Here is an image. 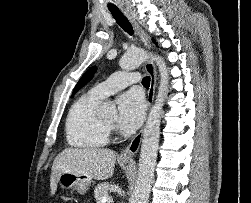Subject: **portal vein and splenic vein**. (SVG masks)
<instances>
[{"instance_id":"portal-vein-and-splenic-vein-1","label":"portal vein and splenic vein","mask_w":251,"mask_h":203,"mask_svg":"<svg viewBox=\"0 0 251 203\" xmlns=\"http://www.w3.org/2000/svg\"><path fill=\"white\" fill-rule=\"evenodd\" d=\"M101 203H113V199L109 197H103Z\"/></svg>"}]
</instances>
